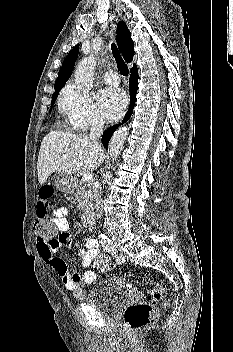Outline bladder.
<instances>
[{
	"label": "bladder",
	"instance_id": "obj_1",
	"mask_svg": "<svg viewBox=\"0 0 233 352\" xmlns=\"http://www.w3.org/2000/svg\"><path fill=\"white\" fill-rule=\"evenodd\" d=\"M125 300L126 293L119 284L102 281L91 289L87 303L101 313L113 316Z\"/></svg>",
	"mask_w": 233,
	"mask_h": 352
}]
</instances>
